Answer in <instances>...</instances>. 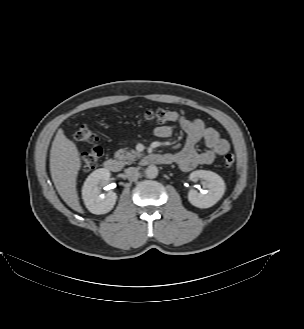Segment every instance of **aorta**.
<instances>
[{
	"mask_svg": "<svg viewBox=\"0 0 304 329\" xmlns=\"http://www.w3.org/2000/svg\"><path fill=\"white\" fill-rule=\"evenodd\" d=\"M146 176L150 179H154L158 175V168L155 165H150L146 168Z\"/></svg>",
	"mask_w": 304,
	"mask_h": 329,
	"instance_id": "1",
	"label": "aorta"
}]
</instances>
